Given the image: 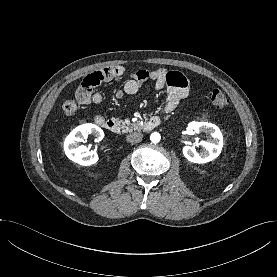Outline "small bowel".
Returning <instances> with one entry per match:
<instances>
[{
    "label": "small bowel",
    "instance_id": "c3829d8e",
    "mask_svg": "<svg viewBox=\"0 0 277 277\" xmlns=\"http://www.w3.org/2000/svg\"><path fill=\"white\" fill-rule=\"evenodd\" d=\"M123 73L124 69L121 66L107 67L90 73L76 91L75 97L78 103L82 105L101 104L103 95L93 89L104 82L121 77ZM146 81H153L157 91H165V110L167 112L173 111L190 92L189 82L180 72L168 71L164 68L156 70L138 69L131 74L123 88L115 92V97L120 99L125 94H136ZM102 118L104 117L101 114H96L95 122Z\"/></svg>",
    "mask_w": 277,
    "mask_h": 277
}]
</instances>
